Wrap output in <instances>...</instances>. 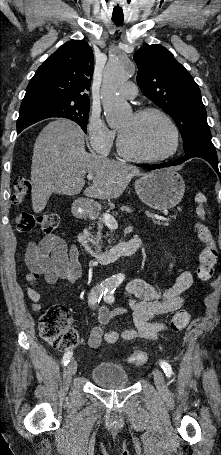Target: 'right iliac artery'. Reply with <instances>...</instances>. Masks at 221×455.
<instances>
[{
    "instance_id": "82829eb1",
    "label": "right iliac artery",
    "mask_w": 221,
    "mask_h": 455,
    "mask_svg": "<svg viewBox=\"0 0 221 455\" xmlns=\"http://www.w3.org/2000/svg\"><path fill=\"white\" fill-rule=\"evenodd\" d=\"M109 286L110 285H108L107 283H100L91 290V292L88 296V303L91 307L95 308L97 303L100 302V300L103 296V293H105V291L107 290V288ZM71 357H72V351H67L63 356L62 364L64 366H66L69 363Z\"/></svg>"
}]
</instances>
